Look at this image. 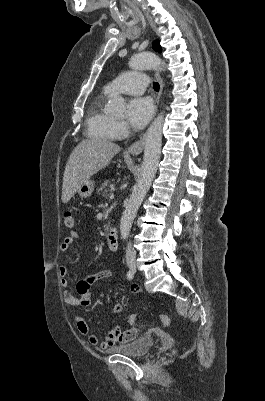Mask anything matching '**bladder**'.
I'll use <instances>...</instances> for the list:
<instances>
[{"label":"bladder","mask_w":265,"mask_h":401,"mask_svg":"<svg viewBox=\"0 0 265 401\" xmlns=\"http://www.w3.org/2000/svg\"><path fill=\"white\" fill-rule=\"evenodd\" d=\"M153 342L151 337H141L131 341L129 344L112 348L111 351L130 355H142L149 351L153 346Z\"/></svg>","instance_id":"obj_1"}]
</instances>
